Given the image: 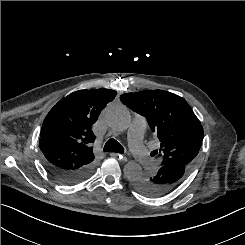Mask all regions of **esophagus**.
Returning <instances> with one entry per match:
<instances>
[{"mask_svg":"<svg viewBox=\"0 0 245 245\" xmlns=\"http://www.w3.org/2000/svg\"><path fill=\"white\" fill-rule=\"evenodd\" d=\"M110 156H112V157H119L120 160L121 161H124V162L127 161V157L126 156H123V155H121L119 153L112 152V153H110Z\"/></svg>","mask_w":245,"mask_h":245,"instance_id":"obj_1","label":"esophagus"}]
</instances>
